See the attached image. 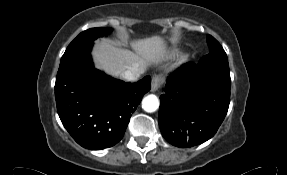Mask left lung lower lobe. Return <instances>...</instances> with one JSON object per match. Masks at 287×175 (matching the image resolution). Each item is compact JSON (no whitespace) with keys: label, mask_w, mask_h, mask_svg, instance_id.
I'll return each instance as SVG.
<instances>
[{"label":"left lung lower lobe","mask_w":287,"mask_h":175,"mask_svg":"<svg viewBox=\"0 0 287 175\" xmlns=\"http://www.w3.org/2000/svg\"><path fill=\"white\" fill-rule=\"evenodd\" d=\"M230 86L229 69L222 66L187 63L178 68L160 96L163 137L180 148L209 140L227 114Z\"/></svg>","instance_id":"obj_1"}]
</instances>
